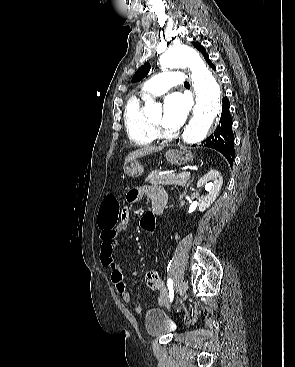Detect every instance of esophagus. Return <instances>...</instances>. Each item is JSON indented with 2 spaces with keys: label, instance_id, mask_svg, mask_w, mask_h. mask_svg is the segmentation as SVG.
<instances>
[{
  "label": "esophagus",
  "instance_id": "34e87169",
  "mask_svg": "<svg viewBox=\"0 0 295 367\" xmlns=\"http://www.w3.org/2000/svg\"><path fill=\"white\" fill-rule=\"evenodd\" d=\"M188 76H189V78H190V73H188Z\"/></svg>",
  "mask_w": 295,
  "mask_h": 367
}]
</instances>
